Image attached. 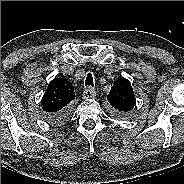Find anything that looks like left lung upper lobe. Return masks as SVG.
Segmentation results:
<instances>
[{"instance_id": "5c2ea615", "label": "left lung upper lobe", "mask_w": 184, "mask_h": 184, "mask_svg": "<svg viewBox=\"0 0 184 184\" xmlns=\"http://www.w3.org/2000/svg\"><path fill=\"white\" fill-rule=\"evenodd\" d=\"M107 99L119 115L124 117L130 116L135 105V95L130 81L125 78L114 81Z\"/></svg>"}]
</instances>
